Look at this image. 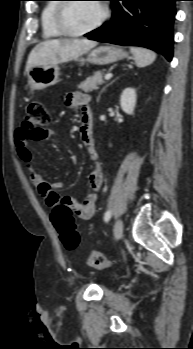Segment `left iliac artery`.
Listing matches in <instances>:
<instances>
[{
    "label": "left iliac artery",
    "instance_id": "left-iliac-artery-1",
    "mask_svg": "<svg viewBox=\"0 0 193 349\" xmlns=\"http://www.w3.org/2000/svg\"><path fill=\"white\" fill-rule=\"evenodd\" d=\"M110 217H111V212L107 211L104 215V221L108 222L110 220Z\"/></svg>",
    "mask_w": 193,
    "mask_h": 349
}]
</instances>
